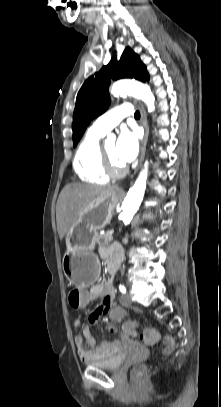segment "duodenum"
<instances>
[{"label":"duodenum","instance_id":"1","mask_svg":"<svg viewBox=\"0 0 221 407\" xmlns=\"http://www.w3.org/2000/svg\"><path fill=\"white\" fill-rule=\"evenodd\" d=\"M122 258V252L120 249H116L112 255L109 257L107 270L109 273H114L117 269L118 264L120 263Z\"/></svg>","mask_w":221,"mask_h":407}]
</instances>
